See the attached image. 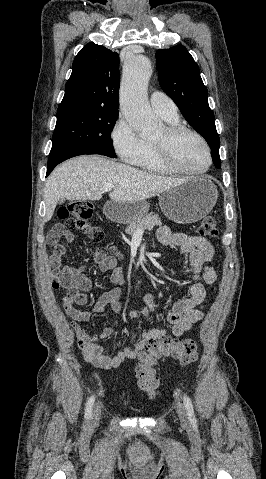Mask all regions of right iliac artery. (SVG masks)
I'll return each instance as SVG.
<instances>
[{
  "label": "right iliac artery",
  "instance_id": "82829eb1",
  "mask_svg": "<svg viewBox=\"0 0 266 479\" xmlns=\"http://www.w3.org/2000/svg\"><path fill=\"white\" fill-rule=\"evenodd\" d=\"M94 401H95V396L92 395V396L88 399V402H87V405H86V411H85V419H86V420H88V419L91 417V411H92V407H93Z\"/></svg>",
  "mask_w": 266,
  "mask_h": 479
}]
</instances>
